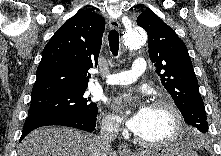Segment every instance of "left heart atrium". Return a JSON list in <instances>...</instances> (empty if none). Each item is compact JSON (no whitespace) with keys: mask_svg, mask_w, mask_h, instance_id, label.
<instances>
[{"mask_svg":"<svg viewBox=\"0 0 221 156\" xmlns=\"http://www.w3.org/2000/svg\"><path fill=\"white\" fill-rule=\"evenodd\" d=\"M132 101L133 97L130 95H124L116 98L112 105L114 109L121 114V119L126 126L134 133L138 134L147 124L151 115L152 107L147 104H141L133 109L128 115L124 114Z\"/></svg>","mask_w":221,"mask_h":156,"instance_id":"obj_1","label":"left heart atrium"}]
</instances>
